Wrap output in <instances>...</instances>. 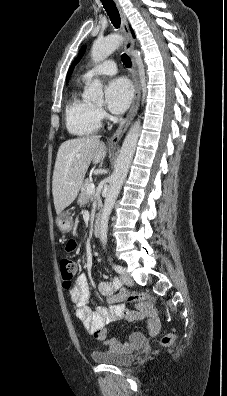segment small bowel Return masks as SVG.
Segmentation results:
<instances>
[{
	"instance_id": "c3829d8e",
	"label": "small bowel",
	"mask_w": 227,
	"mask_h": 396,
	"mask_svg": "<svg viewBox=\"0 0 227 396\" xmlns=\"http://www.w3.org/2000/svg\"><path fill=\"white\" fill-rule=\"evenodd\" d=\"M68 250L75 248V242L68 243ZM99 294L110 303L109 306H99L91 310L88 306L89 287L86 275L81 273L77 276L74 286L70 290V299L75 305V315L85 326L88 332L102 341L111 350H117L125 346L115 338L107 336L106 326L112 322L122 319L129 321L145 320L147 323L148 335L134 332L129 337L127 346L138 345L156 336L160 331V321L155 309L146 299H138L133 310H129L123 302L129 294L124 292L116 295L118 284L107 280L101 281L97 285Z\"/></svg>"
}]
</instances>
